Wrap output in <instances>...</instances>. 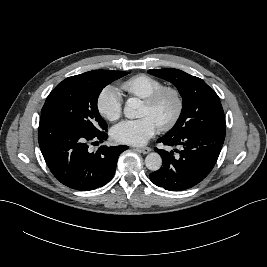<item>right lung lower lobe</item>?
Wrapping results in <instances>:
<instances>
[{
    "label": "right lung lower lobe",
    "instance_id": "obj_1",
    "mask_svg": "<svg viewBox=\"0 0 267 267\" xmlns=\"http://www.w3.org/2000/svg\"><path fill=\"white\" fill-rule=\"evenodd\" d=\"M106 139L105 132L92 134L51 117L40 118L38 140L46 164L72 189L93 190L112 179L118 157L128 146H101L95 153L88 150L89 143Z\"/></svg>",
    "mask_w": 267,
    "mask_h": 267
}]
</instances>
